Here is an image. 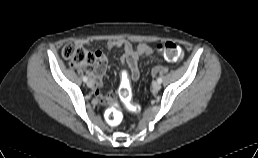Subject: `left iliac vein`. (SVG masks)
I'll list each match as a JSON object with an SVG mask.
<instances>
[{"mask_svg": "<svg viewBox=\"0 0 258 158\" xmlns=\"http://www.w3.org/2000/svg\"><path fill=\"white\" fill-rule=\"evenodd\" d=\"M152 88H153L155 91H158V90L161 88V84H160L158 81H155V82H153V84H152Z\"/></svg>", "mask_w": 258, "mask_h": 158, "instance_id": "1", "label": "left iliac vein"}]
</instances>
